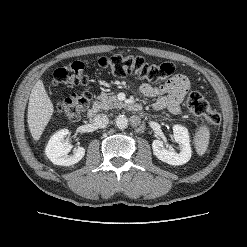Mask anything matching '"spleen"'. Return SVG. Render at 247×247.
Instances as JSON below:
<instances>
[{"label":"spleen","mask_w":247,"mask_h":247,"mask_svg":"<svg viewBox=\"0 0 247 247\" xmlns=\"http://www.w3.org/2000/svg\"><path fill=\"white\" fill-rule=\"evenodd\" d=\"M209 141V130L206 127H203L200 131L198 141L196 143V149L199 155H203L207 150Z\"/></svg>","instance_id":"obj_1"}]
</instances>
